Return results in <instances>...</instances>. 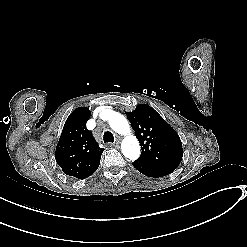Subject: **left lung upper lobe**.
Returning a JSON list of instances; mask_svg holds the SVG:
<instances>
[{"label": "left lung upper lobe", "mask_w": 247, "mask_h": 247, "mask_svg": "<svg viewBox=\"0 0 247 247\" xmlns=\"http://www.w3.org/2000/svg\"><path fill=\"white\" fill-rule=\"evenodd\" d=\"M126 114L142 149L141 156L134 162L173 172L183 155L176 131L149 105L140 104Z\"/></svg>", "instance_id": "left-lung-upper-lobe-1"}]
</instances>
